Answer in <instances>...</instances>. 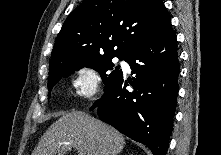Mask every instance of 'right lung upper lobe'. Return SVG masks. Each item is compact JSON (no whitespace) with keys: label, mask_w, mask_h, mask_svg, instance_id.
Listing matches in <instances>:
<instances>
[{"label":"right lung upper lobe","mask_w":221,"mask_h":155,"mask_svg":"<svg viewBox=\"0 0 221 155\" xmlns=\"http://www.w3.org/2000/svg\"><path fill=\"white\" fill-rule=\"evenodd\" d=\"M171 23L161 0H84L59 32L50 72L110 57H127L146 35Z\"/></svg>","instance_id":"right-lung-upper-lobe-1"}]
</instances>
